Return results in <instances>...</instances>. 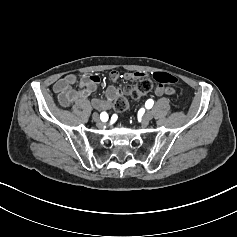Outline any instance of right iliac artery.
Masks as SVG:
<instances>
[{
    "label": "right iliac artery",
    "instance_id": "1",
    "mask_svg": "<svg viewBox=\"0 0 237 237\" xmlns=\"http://www.w3.org/2000/svg\"><path fill=\"white\" fill-rule=\"evenodd\" d=\"M107 118H108V114H107L106 112H102V113L100 114V119H101L102 121L107 120Z\"/></svg>",
    "mask_w": 237,
    "mask_h": 237
}]
</instances>
